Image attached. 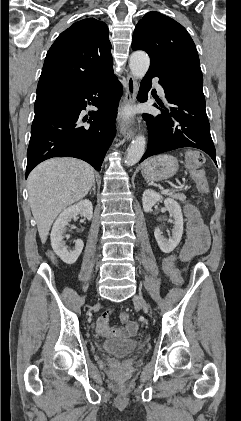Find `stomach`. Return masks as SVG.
<instances>
[{
    "instance_id": "obj_1",
    "label": "stomach",
    "mask_w": 241,
    "mask_h": 421,
    "mask_svg": "<svg viewBox=\"0 0 241 421\" xmlns=\"http://www.w3.org/2000/svg\"><path fill=\"white\" fill-rule=\"evenodd\" d=\"M179 164L175 157L158 155L148 159L142 166V175L146 180L162 181L171 178L178 171Z\"/></svg>"
}]
</instances>
